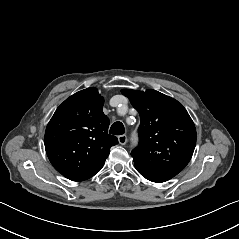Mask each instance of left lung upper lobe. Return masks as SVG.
<instances>
[{"label": "left lung upper lobe", "instance_id": "left-lung-upper-lobe-1", "mask_svg": "<svg viewBox=\"0 0 239 239\" xmlns=\"http://www.w3.org/2000/svg\"><path fill=\"white\" fill-rule=\"evenodd\" d=\"M139 112V145L131 152L135 166L180 172L190 161L196 145V129L177 100L156 90L122 89Z\"/></svg>", "mask_w": 239, "mask_h": 239}]
</instances>
